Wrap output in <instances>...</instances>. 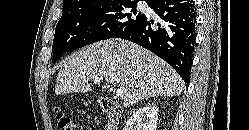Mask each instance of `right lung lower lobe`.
Segmentation results:
<instances>
[{"instance_id":"obj_1","label":"right lung lower lobe","mask_w":249,"mask_h":130,"mask_svg":"<svg viewBox=\"0 0 249 130\" xmlns=\"http://www.w3.org/2000/svg\"><path fill=\"white\" fill-rule=\"evenodd\" d=\"M161 20L144 17L120 37L152 51L169 63L188 85L195 45L196 13L192 0H150ZM155 24L157 27H151Z\"/></svg>"}]
</instances>
